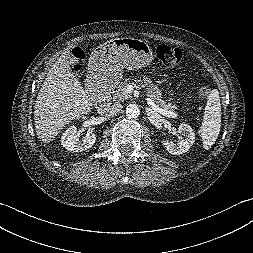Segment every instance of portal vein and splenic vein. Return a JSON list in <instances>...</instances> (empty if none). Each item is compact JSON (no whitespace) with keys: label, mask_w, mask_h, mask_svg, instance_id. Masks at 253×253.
I'll use <instances>...</instances> for the list:
<instances>
[{"label":"portal vein and splenic vein","mask_w":253,"mask_h":253,"mask_svg":"<svg viewBox=\"0 0 253 253\" xmlns=\"http://www.w3.org/2000/svg\"><path fill=\"white\" fill-rule=\"evenodd\" d=\"M147 103L148 105L153 109L155 110L156 112L162 114L163 116H166V117H171V118H177L178 117V114L175 113V112H172V111H167L165 109H162L160 108L159 106H157L154 101L148 97L147 99Z\"/></svg>","instance_id":"portal-vein-and-splenic-vein-1"}]
</instances>
